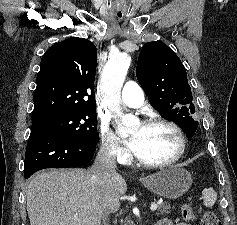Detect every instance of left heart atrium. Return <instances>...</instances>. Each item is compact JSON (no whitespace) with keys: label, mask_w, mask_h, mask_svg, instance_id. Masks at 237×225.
Listing matches in <instances>:
<instances>
[{"label":"left heart atrium","mask_w":237,"mask_h":225,"mask_svg":"<svg viewBox=\"0 0 237 225\" xmlns=\"http://www.w3.org/2000/svg\"><path fill=\"white\" fill-rule=\"evenodd\" d=\"M128 147L130 148V150L134 153H136L137 149H138V140L136 137H132L127 141Z\"/></svg>","instance_id":"39dd6f15"}]
</instances>
